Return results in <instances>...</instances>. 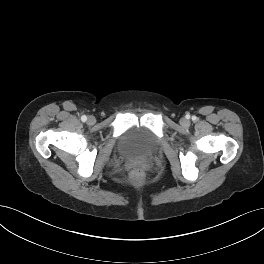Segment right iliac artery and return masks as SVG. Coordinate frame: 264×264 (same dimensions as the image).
<instances>
[{
	"label": "right iliac artery",
	"mask_w": 264,
	"mask_h": 264,
	"mask_svg": "<svg viewBox=\"0 0 264 264\" xmlns=\"http://www.w3.org/2000/svg\"><path fill=\"white\" fill-rule=\"evenodd\" d=\"M81 120H82L83 122H85V121L87 120V117H86L85 115H83V116L81 117Z\"/></svg>",
	"instance_id": "obj_1"
}]
</instances>
